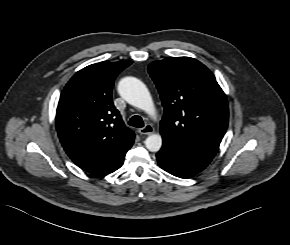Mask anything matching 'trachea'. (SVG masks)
Returning a JSON list of instances; mask_svg holds the SVG:
<instances>
[{
    "label": "trachea",
    "instance_id": "obj_1",
    "mask_svg": "<svg viewBox=\"0 0 290 245\" xmlns=\"http://www.w3.org/2000/svg\"><path fill=\"white\" fill-rule=\"evenodd\" d=\"M129 125L133 127L141 128L144 126V122L140 116L134 115L133 117L130 118Z\"/></svg>",
    "mask_w": 290,
    "mask_h": 245
}]
</instances>
